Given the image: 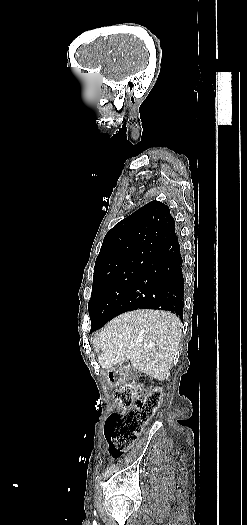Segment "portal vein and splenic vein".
I'll return each instance as SVG.
<instances>
[{"label":"portal vein and splenic vein","mask_w":247,"mask_h":525,"mask_svg":"<svg viewBox=\"0 0 247 525\" xmlns=\"http://www.w3.org/2000/svg\"><path fill=\"white\" fill-rule=\"evenodd\" d=\"M131 346H135V343H131Z\"/></svg>","instance_id":"obj_1"}]
</instances>
